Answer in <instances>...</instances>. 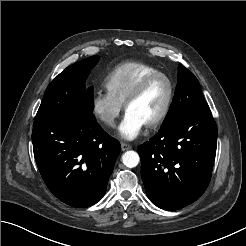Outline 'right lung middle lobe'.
Masks as SVG:
<instances>
[{
	"instance_id": "right-lung-middle-lobe-1",
	"label": "right lung middle lobe",
	"mask_w": 246,
	"mask_h": 246,
	"mask_svg": "<svg viewBox=\"0 0 246 246\" xmlns=\"http://www.w3.org/2000/svg\"><path fill=\"white\" fill-rule=\"evenodd\" d=\"M98 56L79 61L57 75L47 87L35 120H69L92 116L93 87H85Z\"/></svg>"
}]
</instances>
